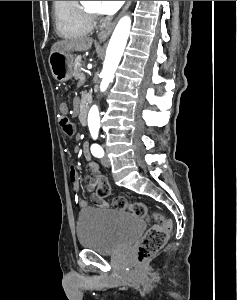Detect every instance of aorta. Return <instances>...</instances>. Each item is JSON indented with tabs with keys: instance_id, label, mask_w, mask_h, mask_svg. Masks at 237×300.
<instances>
[{
	"instance_id": "obj_1",
	"label": "aorta",
	"mask_w": 237,
	"mask_h": 300,
	"mask_svg": "<svg viewBox=\"0 0 237 300\" xmlns=\"http://www.w3.org/2000/svg\"><path fill=\"white\" fill-rule=\"evenodd\" d=\"M130 29L131 19L126 15V17H122V19H120L118 25H116L113 31L101 73V93L106 91L107 87H109V83H112L115 77V71L121 61V57L127 45ZM88 127L90 131H92V129H97V131L100 129V115L97 105H93L88 113Z\"/></svg>"
}]
</instances>
